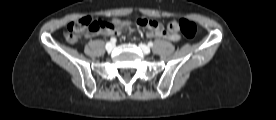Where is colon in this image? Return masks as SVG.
<instances>
[{
	"label": "colon",
	"mask_w": 276,
	"mask_h": 120,
	"mask_svg": "<svg viewBox=\"0 0 276 120\" xmlns=\"http://www.w3.org/2000/svg\"><path fill=\"white\" fill-rule=\"evenodd\" d=\"M137 24L147 27L151 25V20L139 19ZM126 25L127 22L120 20L108 22L106 20H93L90 17H83L68 24L64 36L69 43H75L84 35L96 34L99 32H113ZM167 31L172 33L180 31L184 37L193 39L197 34V26L192 21L181 19L179 21H170L167 24Z\"/></svg>",
	"instance_id": "colon-1"
}]
</instances>
